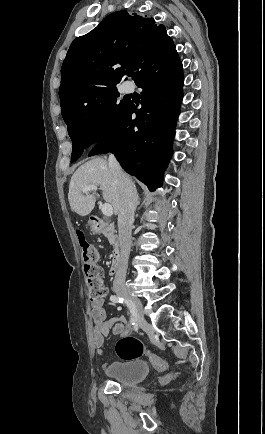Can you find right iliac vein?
Returning <instances> with one entry per match:
<instances>
[{"label": "right iliac vein", "instance_id": "right-iliac-vein-1", "mask_svg": "<svg viewBox=\"0 0 265 434\" xmlns=\"http://www.w3.org/2000/svg\"><path fill=\"white\" fill-rule=\"evenodd\" d=\"M114 291L121 295L123 298L129 300L132 305L135 307L136 311H137V315H138V322L139 324H145L146 321L143 318V309H142V303L139 300V298H137L135 295L130 294L127 289L122 286V285H118L114 288Z\"/></svg>", "mask_w": 265, "mask_h": 434}]
</instances>
